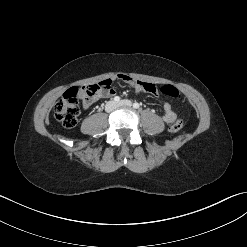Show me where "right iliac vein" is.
Listing matches in <instances>:
<instances>
[{
    "label": "right iliac vein",
    "mask_w": 247,
    "mask_h": 247,
    "mask_svg": "<svg viewBox=\"0 0 247 247\" xmlns=\"http://www.w3.org/2000/svg\"><path fill=\"white\" fill-rule=\"evenodd\" d=\"M116 103L114 101H109L107 104H106V111L107 112H111L113 111L115 108H116Z\"/></svg>",
    "instance_id": "obj_1"
}]
</instances>
